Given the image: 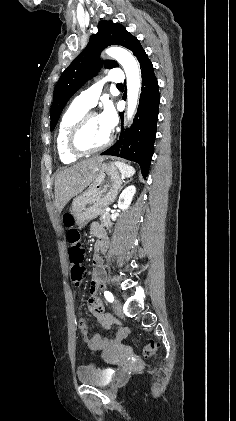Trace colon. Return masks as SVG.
<instances>
[{
    "instance_id": "5ec220e1",
    "label": "colon",
    "mask_w": 236,
    "mask_h": 421,
    "mask_svg": "<svg viewBox=\"0 0 236 421\" xmlns=\"http://www.w3.org/2000/svg\"><path fill=\"white\" fill-rule=\"evenodd\" d=\"M63 222L69 228L67 239L69 242L68 256L71 264L70 276L72 282L78 286L86 275V270L82 266L85 250L81 243L80 233L74 228V218L71 214L66 213L63 216ZM157 346L154 342H149L142 348L144 356H152L155 354Z\"/></svg>"
}]
</instances>
